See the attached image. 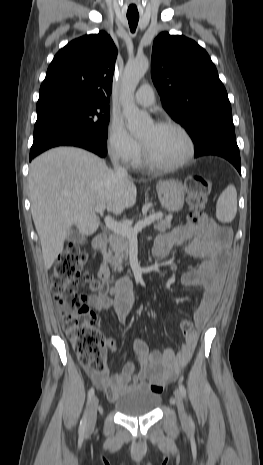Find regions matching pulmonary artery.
<instances>
[{"instance_id":"pulmonary-artery-1","label":"pulmonary artery","mask_w":263,"mask_h":465,"mask_svg":"<svg viewBox=\"0 0 263 465\" xmlns=\"http://www.w3.org/2000/svg\"><path fill=\"white\" fill-rule=\"evenodd\" d=\"M134 100L141 106H151L155 102L154 91L149 84H143L135 93Z\"/></svg>"}]
</instances>
